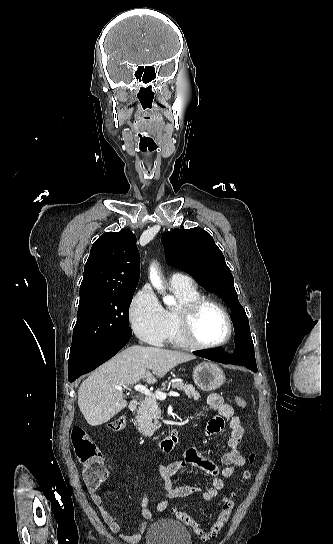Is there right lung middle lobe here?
Segmentation results:
<instances>
[{
  "label": "right lung middle lobe",
  "mask_w": 333,
  "mask_h": 544,
  "mask_svg": "<svg viewBox=\"0 0 333 544\" xmlns=\"http://www.w3.org/2000/svg\"><path fill=\"white\" fill-rule=\"evenodd\" d=\"M134 292H108L79 304L69 363L83 358L108 338L132 333L128 312Z\"/></svg>",
  "instance_id": "1"
}]
</instances>
